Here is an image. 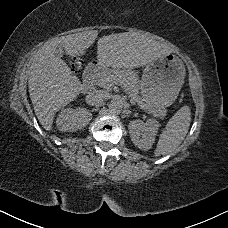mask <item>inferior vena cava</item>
I'll use <instances>...</instances> for the list:
<instances>
[{
    "label": "inferior vena cava",
    "instance_id": "obj_1",
    "mask_svg": "<svg viewBox=\"0 0 228 228\" xmlns=\"http://www.w3.org/2000/svg\"><path fill=\"white\" fill-rule=\"evenodd\" d=\"M109 98H110V95L107 91H103V90L93 91L86 96V103L92 106H101Z\"/></svg>",
    "mask_w": 228,
    "mask_h": 228
}]
</instances>
